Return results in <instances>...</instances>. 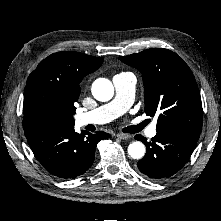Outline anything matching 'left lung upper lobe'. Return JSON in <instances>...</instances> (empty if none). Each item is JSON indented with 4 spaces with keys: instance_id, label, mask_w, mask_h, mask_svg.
Segmentation results:
<instances>
[{
    "instance_id": "5c2ea615",
    "label": "left lung upper lobe",
    "mask_w": 221,
    "mask_h": 221,
    "mask_svg": "<svg viewBox=\"0 0 221 221\" xmlns=\"http://www.w3.org/2000/svg\"><path fill=\"white\" fill-rule=\"evenodd\" d=\"M119 59L141 72L145 112L158 116L156 131L180 129L201 133L202 103L198 86L190 68L177 54L155 48Z\"/></svg>"
}]
</instances>
